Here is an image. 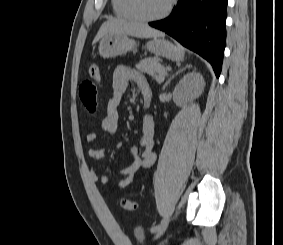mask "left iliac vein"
Instances as JSON below:
<instances>
[{
	"mask_svg": "<svg viewBox=\"0 0 283 245\" xmlns=\"http://www.w3.org/2000/svg\"><path fill=\"white\" fill-rule=\"evenodd\" d=\"M167 224H168V219L165 220L163 227L158 232H156L155 238L159 237V235L165 230Z\"/></svg>",
	"mask_w": 283,
	"mask_h": 245,
	"instance_id": "left-iliac-vein-1",
	"label": "left iliac vein"
}]
</instances>
